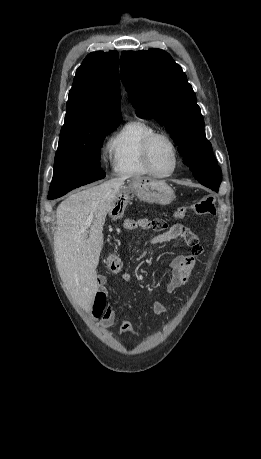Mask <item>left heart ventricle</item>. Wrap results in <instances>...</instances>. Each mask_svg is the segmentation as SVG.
I'll list each match as a JSON object with an SVG mask.
<instances>
[{
	"label": "left heart ventricle",
	"mask_w": 261,
	"mask_h": 459,
	"mask_svg": "<svg viewBox=\"0 0 261 459\" xmlns=\"http://www.w3.org/2000/svg\"><path fill=\"white\" fill-rule=\"evenodd\" d=\"M153 168L158 173H168L174 166V154L170 144L164 139H158L151 153Z\"/></svg>",
	"instance_id": "b2bd125f"
}]
</instances>
